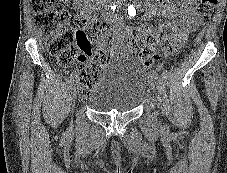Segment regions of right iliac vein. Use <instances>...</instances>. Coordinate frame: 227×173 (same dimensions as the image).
I'll list each match as a JSON object with an SVG mask.
<instances>
[{
    "label": "right iliac vein",
    "mask_w": 227,
    "mask_h": 173,
    "mask_svg": "<svg viewBox=\"0 0 227 173\" xmlns=\"http://www.w3.org/2000/svg\"><path fill=\"white\" fill-rule=\"evenodd\" d=\"M70 95H71V102L74 103L75 102V97H76V88H75V86L71 87Z\"/></svg>",
    "instance_id": "obj_1"
}]
</instances>
